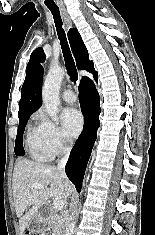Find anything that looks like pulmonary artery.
<instances>
[{"label": "pulmonary artery", "instance_id": "1", "mask_svg": "<svg viewBox=\"0 0 155 235\" xmlns=\"http://www.w3.org/2000/svg\"><path fill=\"white\" fill-rule=\"evenodd\" d=\"M62 98L64 101H66L67 103H71V104L76 101V95L71 90H65L62 93Z\"/></svg>", "mask_w": 155, "mask_h": 235}]
</instances>
